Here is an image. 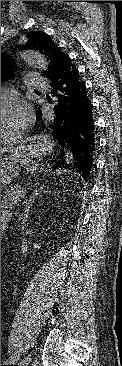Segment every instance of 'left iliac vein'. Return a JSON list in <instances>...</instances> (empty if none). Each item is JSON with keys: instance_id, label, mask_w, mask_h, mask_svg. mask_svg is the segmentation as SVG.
Segmentation results:
<instances>
[{"instance_id": "left-iliac-vein-1", "label": "left iliac vein", "mask_w": 122, "mask_h": 366, "mask_svg": "<svg viewBox=\"0 0 122 366\" xmlns=\"http://www.w3.org/2000/svg\"><path fill=\"white\" fill-rule=\"evenodd\" d=\"M19 358V351L16 352V354H14L11 359L12 360H17ZM31 361V358L30 356H26L24 359H23V365L24 366H28V364L30 363Z\"/></svg>"}]
</instances>
